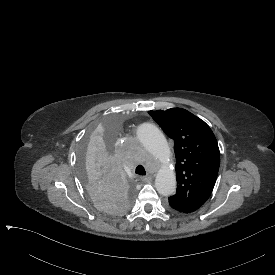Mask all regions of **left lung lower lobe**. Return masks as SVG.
Instances as JSON below:
<instances>
[{"instance_id": "left-lung-lower-lobe-1", "label": "left lung lower lobe", "mask_w": 275, "mask_h": 275, "mask_svg": "<svg viewBox=\"0 0 275 275\" xmlns=\"http://www.w3.org/2000/svg\"><path fill=\"white\" fill-rule=\"evenodd\" d=\"M170 209H171V210H173V211H178V212H181V211L176 210V209H174V208H172V207H170ZM183 213H185V212H183Z\"/></svg>"}]
</instances>
